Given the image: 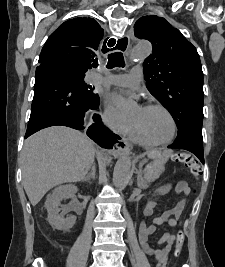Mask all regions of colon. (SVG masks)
<instances>
[{"label": "colon", "mask_w": 225, "mask_h": 267, "mask_svg": "<svg viewBox=\"0 0 225 267\" xmlns=\"http://www.w3.org/2000/svg\"><path fill=\"white\" fill-rule=\"evenodd\" d=\"M173 159L175 161H178V162L184 164L190 170L191 174L195 178L199 177V175L201 173V167H200L199 163L191 155H189L187 153H178V154L174 155ZM193 193H195V190H193ZM183 242H184V234L180 230L176 236V245H175V250H174V257L176 259L181 254ZM157 267H166V260H164V259L160 260L159 263L157 264Z\"/></svg>", "instance_id": "colon-1"}]
</instances>
